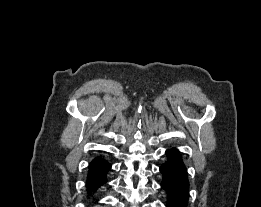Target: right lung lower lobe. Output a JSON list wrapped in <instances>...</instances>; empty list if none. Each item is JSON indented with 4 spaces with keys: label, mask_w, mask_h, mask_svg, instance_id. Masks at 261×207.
<instances>
[{
    "label": "right lung lower lobe",
    "mask_w": 261,
    "mask_h": 207,
    "mask_svg": "<svg viewBox=\"0 0 261 207\" xmlns=\"http://www.w3.org/2000/svg\"><path fill=\"white\" fill-rule=\"evenodd\" d=\"M110 169L111 164L102 156H97L90 162L86 180L87 192L89 194L94 193L107 182V173Z\"/></svg>",
    "instance_id": "98d812e1"
}]
</instances>
